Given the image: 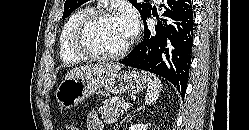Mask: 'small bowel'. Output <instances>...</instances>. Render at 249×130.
Wrapping results in <instances>:
<instances>
[{
	"instance_id": "small-bowel-1",
	"label": "small bowel",
	"mask_w": 249,
	"mask_h": 130,
	"mask_svg": "<svg viewBox=\"0 0 249 130\" xmlns=\"http://www.w3.org/2000/svg\"><path fill=\"white\" fill-rule=\"evenodd\" d=\"M88 130H103V123L96 112H90L87 116Z\"/></svg>"
}]
</instances>
